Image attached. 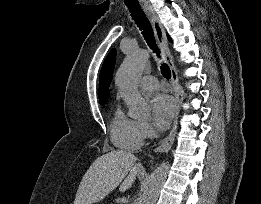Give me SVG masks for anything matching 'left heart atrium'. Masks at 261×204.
Here are the masks:
<instances>
[{"instance_id":"39dd6f15","label":"left heart atrium","mask_w":261,"mask_h":204,"mask_svg":"<svg viewBox=\"0 0 261 204\" xmlns=\"http://www.w3.org/2000/svg\"><path fill=\"white\" fill-rule=\"evenodd\" d=\"M151 109L155 127L159 130L167 129L175 112V105L171 97L162 93L154 95L151 100Z\"/></svg>"}]
</instances>
